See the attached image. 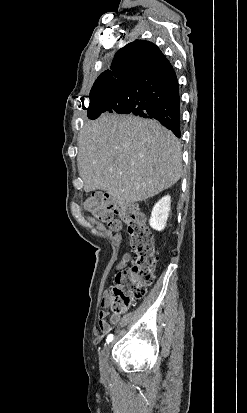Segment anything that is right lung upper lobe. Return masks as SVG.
Instances as JSON below:
<instances>
[{
	"label": "right lung upper lobe",
	"mask_w": 247,
	"mask_h": 413,
	"mask_svg": "<svg viewBox=\"0 0 247 413\" xmlns=\"http://www.w3.org/2000/svg\"><path fill=\"white\" fill-rule=\"evenodd\" d=\"M169 64L155 44L136 40L118 50L111 69L104 71L97 81L125 82L127 77L135 72H156Z\"/></svg>",
	"instance_id": "right-lung-upper-lobe-1"
}]
</instances>
